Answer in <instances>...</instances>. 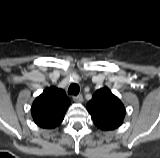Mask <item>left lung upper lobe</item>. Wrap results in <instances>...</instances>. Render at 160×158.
<instances>
[{
    "instance_id": "5c2ea615",
    "label": "left lung upper lobe",
    "mask_w": 160,
    "mask_h": 158,
    "mask_svg": "<svg viewBox=\"0 0 160 158\" xmlns=\"http://www.w3.org/2000/svg\"><path fill=\"white\" fill-rule=\"evenodd\" d=\"M94 124L103 131L118 128L124 119L125 108L122 102L108 87L97 90L86 105Z\"/></svg>"
}]
</instances>
